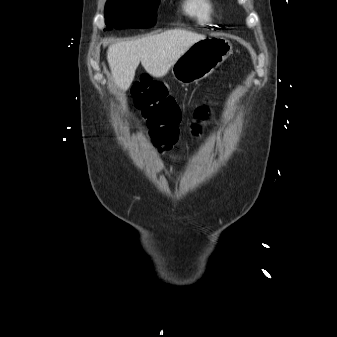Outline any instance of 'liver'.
Masks as SVG:
<instances>
[{
  "label": "liver",
  "instance_id": "1",
  "mask_svg": "<svg viewBox=\"0 0 337 337\" xmlns=\"http://www.w3.org/2000/svg\"><path fill=\"white\" fill-rule=\"evenodd\" d=\"M202 39H205V36L182 29H172L109 46L107 60L116 85L126 91L140 62L153 77L165 76L175 61L191 45Z\"/></svg>",
  "mask_w": 337,
  "mask_h": 337
}]
</instances>
